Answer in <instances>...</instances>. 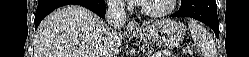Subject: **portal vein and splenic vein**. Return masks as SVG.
Returning <instances> with one entry per match:
<instances>
[{"label":"portal vein and splenic vein","mask_w":249,"mask_h":57,"mask_svg":"<svg viewBox=\"0 0 249 57\" xmlns=\"http://www.w3.org/2000/svg\"><path fill=\"white\" fill-rule=\"evenodd\" d=\"M153 57H161V55L160 54H155V55H153Z\"/></svg>","instance_id":"portal-vein-and-splenic-vein-1"}]
</instances>
